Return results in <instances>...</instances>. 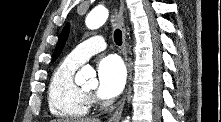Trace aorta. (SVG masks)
Wrapping results in <instances>:
<instances>
[{"label": "aorta", "instance_id": "aorta-1", "mask_svg": "<svg viewBox=\"0 0 221 122\" xmlns=\"http://www.w3.org/2000/svg\"><path fill=\"white\" fill-rule=\"evenodd\" d=\"M108 18V10L105 7L98 6L94 8L86 17V26L93 30L101 27ZM77 79L83 83L88 80L90 85L96 82L95 72L91 67L85 66L83 67L77 76ZM124 122H129V117L125 119Z\"/></svg>", "mask_w": 221, "mask_h": 122}]
</instances>
